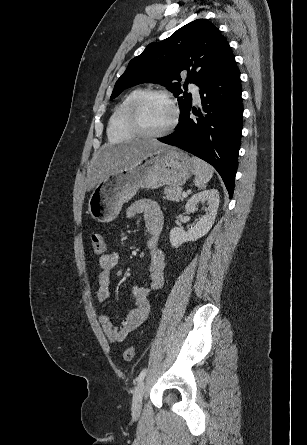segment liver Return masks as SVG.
I'll return each instance as SVG.
<instances>
[{"label": "liver", "instance_id": "1", "mask_svg": "<svg viewBox=\"0 0 307 445\" xmlns=\"http://www.w3.org/2000/svg\"><path fill=\"white\" fill-rule=\"evenodd\" d=\"M168 144L157 140H136L131 144H104L97 152L95 160L88 166L86 188L92 190L105 176L116 172L119 168H131L143 156L151 154L158 148H166Z\"/></svg>", "mask_w": 307, "mask_h": 445}]
</instances>
